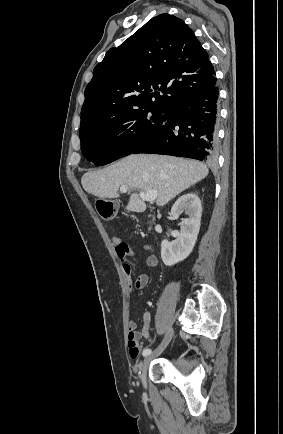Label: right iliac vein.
Wrapping results in <instances>:
<instances>
[{"label":"right iliac vein","instance_id":"63e3f726","mask_svg":"<svg viewBox=\"0 0 283 434\" xmlns=\"http://www.w3.org/2000/svg\"><path fill=\"white\" fill-rule=\"evenodd\" d=\"M173 336V329L169 328L166 332V335L163 339V341L161 342V344L154 350V352L150 355H148L143 363L141 364L140 370H141V381L142 384L144 386H146L147 384V371H148V367L150 362L156 358L157 356H159L164 350L165 348L168 346V344L170 343L171 339Z\"/></svg>","mask_w":283,"mask_h":434}]
</instances>
